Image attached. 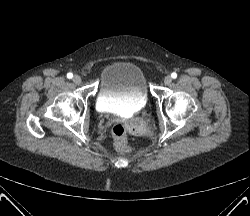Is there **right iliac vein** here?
<instances>
[{
  "instance_id": "obj_1",
  "label": "right iliac vein",
  "mask_w": 250,
  "mask_h": 216,
  "mask_svg": "<svg viewBox=\"0 0 250 216\" xmlns=\"http://www.w3.org/2000/svg\"><path fill=\"white\" fill-rule=\"evenodd\" d=\"M81 77L80 76H78V75H75L74 77H73V82L75 83V84H77V85H79L80 83H81Z\"/></svg>"
}]
</instances>
